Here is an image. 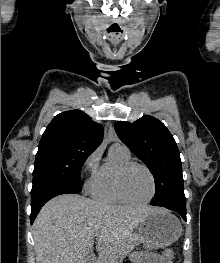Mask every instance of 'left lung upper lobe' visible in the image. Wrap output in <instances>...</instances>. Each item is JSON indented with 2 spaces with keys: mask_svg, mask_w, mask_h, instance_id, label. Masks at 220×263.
Wrapping results in <instances>:
<instances>
[{
  "mask_svg": "<svg viewBox=\"0 0 220 263\" xmlns=\"http://www.w3.org/2000/svg\"><path fill=\"white\" fill-rule=\"evenodd\" d=\"M120 140L149 168L155 179L153 205L186 208L182 165L176 142L158 119L145 115L137 121L117 122Z\"/></svg>",
  "mask_w": 220,
  "mask_h": 263,
  "instance_id": "obj_1",
  "label": "left lung upper lobe"
}]
</instances>
